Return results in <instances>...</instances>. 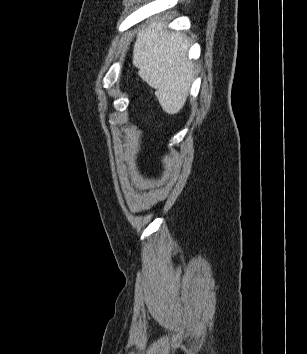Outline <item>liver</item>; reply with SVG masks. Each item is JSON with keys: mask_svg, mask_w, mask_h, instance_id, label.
Returning a JSON list of instances; mask_svg holds the SVG:
<instances>
[{"mask_svg": "<svg viewBox=\"0 0 307 354\" xmlns=\"http://www.w3.org/2000/svg\"><path fill=\"white\" fill-rule=\"evenodd\" d=\"M157 19L138 33L133 50V65L139 76L156 90L162 109L177 114L184 106L194 80L193 64L187 58L189 39L166 29Z\"/></svg>", "mask_w": 307, "mask_h": 354, "instance_id": "6515ba94", "label": "liver"}]
</instances>
